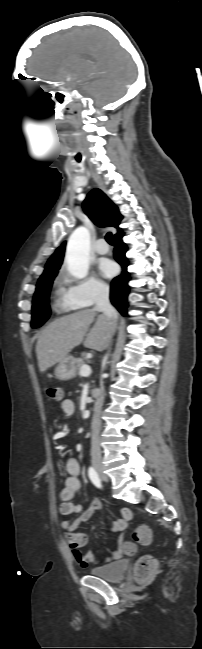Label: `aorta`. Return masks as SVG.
Returning a JSON list of instances; mask_svg holds the SVG:
<instances>
[{
	"mask_svg": "<svg viewBox=\"0 0 202 649\" xmlns=\"http://www.w3.org/2000/svg\"><path fill=\"white\" fill-rule=\"evenodd\" d=\"M90 234L85 227L77 228L70 236L66 250V267L78 279L88 275L90 264Z\"/></svg>",
	"mask_w": 202,
	"mask_h": 649,
	"instance_id": "1",
	"label": "aorta"
}]
</instances>
